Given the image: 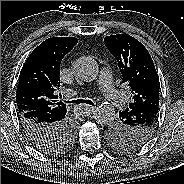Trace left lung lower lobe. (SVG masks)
Masks as SVG:
<instances>
[{
	"label": "left lung lower lobe",
	"instance_id": "left-lung-lower-lobe-1",
	"mask_svg": "<svg viewBox=\"0 0 184 184\" xmlns=\"http://www.w3.org/2000/svg\"><path fill=\"white\" fill-rule=\"evenodd\" d=\"M149 106L157 107L159 106V100L154 99L151 101V104ZM145 110V108H143Z\"/></svg>",
	"mask_w": 184,
	"mask_h": 184
}]
</instances>
